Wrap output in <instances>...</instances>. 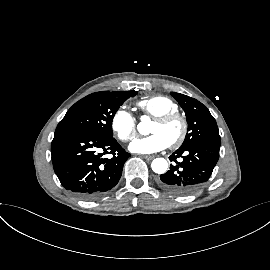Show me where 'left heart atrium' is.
Here are the masks:
<instances>
[{"label": "left heart atrium", "instance_id": "obj_1", "mask_svg": "<svg viewBox=\"0 0 270 270\" xmlns=\"http://www.w3.org/2000/svg\"><path fill=\"white\" fill-rule=\"evenodd\" d=\"M169 146L168 141L159 134H152L143 138H136L129 144L130 151L139 154L160 152Z\"/></svg>", "mask_w": 270, "mask_h": 270}]
</instances>
